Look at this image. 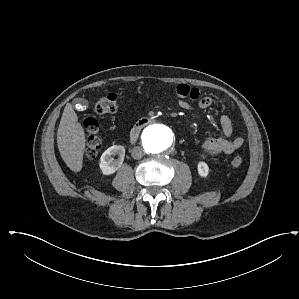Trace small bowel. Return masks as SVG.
Returning <instances> with one entry per match:
<instances>
[{"mask_svg": "<svg viewBox=\"0 0 299 299\" xmlns=\"http://www.w3.org/2000/svg\"><path fill=\"white\" fill-rule=\"evenodd\" d=\"M176 94L178 97V106L187 111L207 109L214 101L211 96L203 95L199 90L191 89L185 84L177 86ZM219 122L223 137H210L202 143L201 154L204 157L233 154L238 151L244 143L242 137L231 138L233 134V122L228 115H221Z\"/></svg>", "mask_w": 299, "mask_h": 299, "instance_id": "1", "label": "small bowel"}]
</instances>
